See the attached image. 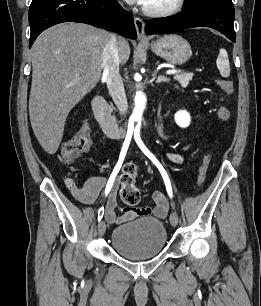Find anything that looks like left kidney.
Wrapping results in <instances>:
<instances>
[{"mask_svg": "<svg viewBox=\"0 0 261 306\" xmlns=\"http://www.w3.org/2000/svg\"><path fill=\"white\" fill-rule=\"evenodd\" d=\"M191 117L187 111H178L175 114V122L178 126L186 128L189 126Z\"/></svg>", "mask_w": 261, "mask_h": 306, "instance_id": "obj_1", "label": "left kidney"}]
</instances>
